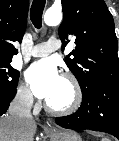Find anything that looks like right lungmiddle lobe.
<instances>
[{
	"mask_svg": "<svg viewBox=\"0 0 119 141\" xmlns=\"http://www.w3.org/2000/svg\"><path fill=\"white\" fill-rule=\"evenodd\" d=\"M12 59H0V92L11 93L17 86L19 72L10 63Z\"/></svg>",
	"mask_w": 119,
	"mask_h": 141,
	"instance_id": "1",
	"label": "right lung middle lobe"
}]
</instances>
